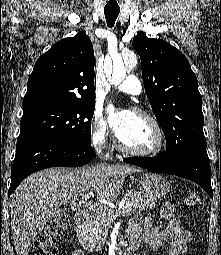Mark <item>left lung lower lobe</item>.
<instances>
[{
	"label": "left lung lower lobe",
	"mask_w": 221,
	"mask_h": 255,
	"mask_svg": "<svg viewBox=\"0 0 221 255\" xmlns=\"http://www.w3.org/2000/svg\"><path fill=\"white\" fill-rule=\"evenodd\" d=\"M124 162L150 171L176 175L192 180L199 184L210 197H213L210 161L206 149H192L184 152L176 159L159 155L150 158H126Z\"/></svg>",
	"instance_id": "left-lung-lower-lobe-1"
}]
</instances>
